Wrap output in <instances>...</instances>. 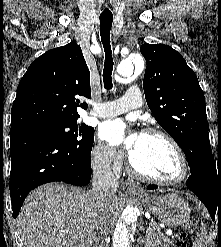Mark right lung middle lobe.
<instances>
[{
    "label": "right lung middle lobe",
    "mask_w": 221,
    "mask_h": 247,
    "mask_svg": "<svg viewBox=\"0 0 221 247\" xmlns=\"http://www.w3.org/2000/svg\"><path fill=\"white\" fill-rule=\"evenodd\" d=\"M23 129L46 134L68 147L78 149L83 153H90L94 142V128L82 125L78 129L77 121L43 123Z\"/></svg>",
    "instance_id": "dd1d6c3e"
}]
</instances>
